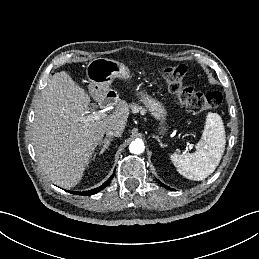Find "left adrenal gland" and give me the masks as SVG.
Masks as SVG:
<instances>
[{
	"label": "left adrenal gland",
	"instance_id": "left-adrenal-gland-1",
	"mask_svg": "<svg viewBox=\"0 0 259 259\" xmlns=\"http://www.w3.org/2000/svg\"><path fill=\"white\" fill-rule=\"evenodd\" d=\"M157 141L159 142V145H160L161 147H164V146H165V145L160 141V139L157 138Z\"/></svg>",
	"mask_w": 259,
	"mask_h": 259
}]
</instances>
